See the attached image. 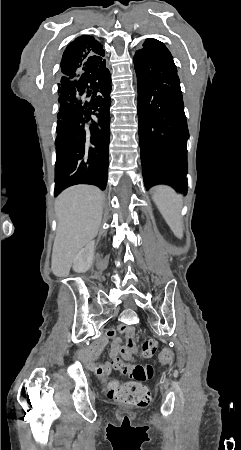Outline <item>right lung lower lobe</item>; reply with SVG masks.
I'll list each match as a JSON object with an SVG mask.
<instances>
[{"label":"right lung lower lobe","mask_w":241,"mask_h":450,"mask_svg":"<svg viewBox=\"0 0 241 450\" xmlns=\"http://www.w3.org/2000/svg\"><path fill=\"white\" fill-rule=\"evenodd\" d=\"M58 90L54 195L76 184H91L104 190L111 105V76L106 61L61 76Z\"/></svg>","instance_id":"1"}]
</instances>
